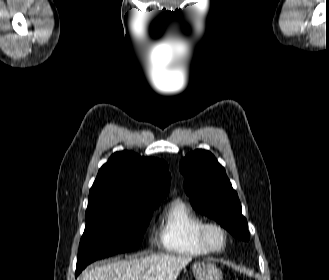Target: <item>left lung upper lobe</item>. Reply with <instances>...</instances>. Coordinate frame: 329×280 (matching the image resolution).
Returning a JSON list of instances; mask_svg holds the SVG:
<instances>
[{"label":"left lung upper lobe","instance_id":"obj_1","mask_svg":"<svg viewBox=\"0 0 329 280\" xmlns=\"http://www.w3.org/2000/svg\"><path fill=\"white\" fill-rule=\"evenodd\" d=\"M180 170L186 176L184 189L192 207L214 218L236 238L249 240L238 195L214 155L195 150L181 160Z\"/></svg>","mask_w":329,"mask_h":280}]
</instances>
